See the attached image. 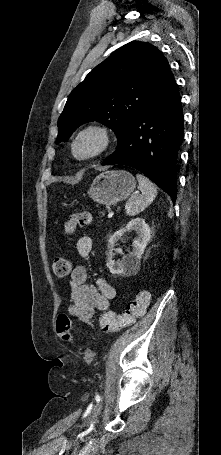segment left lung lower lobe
<instances>
[{
  "label": "left lung lower lobe",
  "instance_id": "obj_1",
  "mask_svg": "<svg viewBox=\"0 0 221 455\" xmlns=\"http://www.w3.org/2000/svg\"><path fill=\"white\" fill-rule=\"evenodd\" d=\"M183 135L181 98L172 75L162 91L137 115L117 149L102 165L133 167L175 201L177 157Z\"/></svg>",
  "mask_w": 221,
  "mask_h": 455
}]
</instances>
